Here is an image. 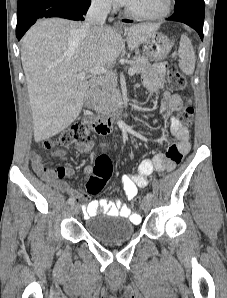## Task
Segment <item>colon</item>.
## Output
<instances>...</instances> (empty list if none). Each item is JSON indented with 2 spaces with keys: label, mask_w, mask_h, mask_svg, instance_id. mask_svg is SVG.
<instances>
[{
  "label": "colon",
  "mask_w": 227,
  "mask_h": 298,
  "mask_svg": "<svg viewBox=\"0 0 227 298\" xmlns=\"http://www.w3.org/2000/svg\"><path fill=\"white\" fill-rule=\"evenodd\" d=\"M168 81L172 89L176 91H183L186 87L185 77L180 73L175 65L168 70ZM178 119L184 125L193 123L194 110L190 105H187L180 113ZM90 139V129L84 123H76L62 132L56 137L47 139L43 142V147L47 150L57 148V151L73 145L83 144ZM112 175V162L107 156H101L97 159L94 172L87 181V191L91 195L99 194L106 182ZM133 207L135 213H140L141 198L135 197L133 200Z\"/></svg>",
  "instance_id": "1"
}]
</instances>
